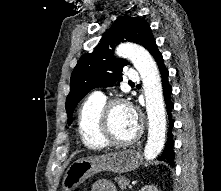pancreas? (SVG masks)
Here are the masks:
<instances>
[{
    "instance_id": "obj_1",
    "label": "pancreas",
    "mask_w": 221,
    "mask_h": 191,
    "mask_svg": "<svg viewBox=\"0 0 221 191\" xmlns=\"http://www.w3.org/2000/svg\"><path fill=\"white\" fill-rule=\"evenodd\" d=\"M115 181L120 186L122 190H125L127 186H129V179L124 176L115 177Z\"/></svg>"
}]
</instances>
